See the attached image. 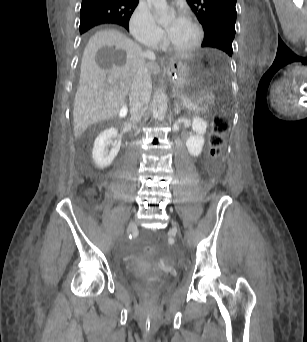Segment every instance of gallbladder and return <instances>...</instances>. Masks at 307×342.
<instances>
[{"label": "gallbladder", "instance_id": "obj_1", "mask_svg": "<svg viewBox=\"0 0 307 342\" xmlns=\"http://www.w3.org/2000/svg\"><path fill=\"white\" fill-rule=\"evenodd\" d=\"M119 111H120V114H119V115H120L121 118H126V117H127V115H128V114H127V111H128V110H127L126 107H121Z\"/></svg>", "mask_w": 307, "mask_h": 342}]
</instances>
